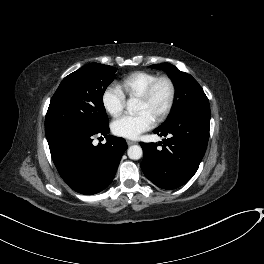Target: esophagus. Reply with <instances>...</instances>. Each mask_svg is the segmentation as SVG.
I'll use <instances>...</instances> for the list:
<instances>
[{"label":"esophagus","mask_w":264,"mask_h":264,"mask_svg":"<svg viewBox=\"0 0 264 264\" xmlns=\"http://www.w3.org/2000/svg\"><path fill=\"white\" fill-rule=\"evenodd\" d=\"M136 142L135 141H132V140H127V144L130 146V145H133L135 144Z\"/></svg>","instance_id":"34e87169"}]
</instances>
